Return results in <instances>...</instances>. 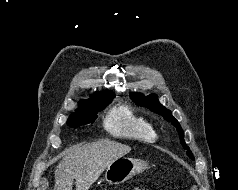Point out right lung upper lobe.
Here are the masks:
<instances>
[{
  "instance_id": "right-lung-upper-lobe-1",
  "label": "right lung upper lobe",
  "mask_w": 238,
  "mask_h": 190,
  "mask_svg": "<svg viewBox=\"0 0 238 190\" xmlns=\"http://www.w3.org/2000/svg\"><path fill=\"white\" fill-rule=\"evenodd\" d=\"M111 93H112V92H110V91L96 92L93 96H91L90 99H92V98H94V97H97V96L107 95V94H111ZM90 99H89V100H90ZM86 101H88V100H83V101H81V102L79 103V108H78V109L84 107V106L86 105Z\"/></svg>"
}]
</instances>
